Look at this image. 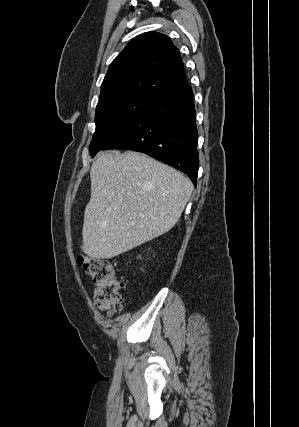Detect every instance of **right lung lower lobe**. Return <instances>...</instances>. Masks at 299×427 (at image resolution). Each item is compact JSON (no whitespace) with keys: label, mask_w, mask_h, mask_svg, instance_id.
I'll return each mask as SVG.
<instances>
[{"label":"right lung lower lobe","mask_w":299,"mask_h":427,"mask_svg":"<svg viewBox=\"0 0 299 427\" xmlns=\"http://www.w3.org/2000/svg\"><path fill=\"white\" fill-rule=\"evenodd\" d=\"M194 96L189 85L157 99L103 149L143 152L184 172L196 186L197 151Z\"/></svg>","instance_id":"1"}]
</instances>
